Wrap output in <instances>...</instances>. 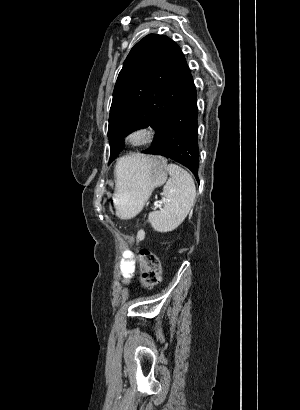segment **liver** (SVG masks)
I'll return each mask as SVG.
<instances>
[{
    "mask_svg": "<svg viewBox=\"0 0 300 410\" xmlns=\"http://www.w3.org/2000/svg\"><path fill=\"white\" fill-rule=\"evenodd\" d=\"M128 159L130 161H133L134 163H138L142 160L146 159V155H142V154H132L128 157ZM118 186V182H116V187Z\"/></svg>",
    "mask_w": 300,
    "mask_h": 410,
    "instance_id": "1",
    "label": "liver"
}]
</instances>
